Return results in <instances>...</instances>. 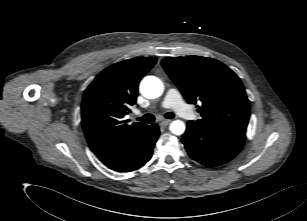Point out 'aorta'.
Masks as SVG:
<instances>
[{"instance_id": "aorta-1", "label": "aorta", "mask_w": 307, "mask_h": 221, "mask_svg": "<svg viewBox=\"0 0 307 221\" xmlns=\"http://www.w3.org/2000/svg\"><path fill=\"white\" fill-rule=\"evenodd\" d=\"M163 83L155 76H146L140 84L141 94L149 99H154L162 95ZM185 124L181 120H175L170 124V131L175 135H182L185 132Z\"/></svg>"}]
</instances>
